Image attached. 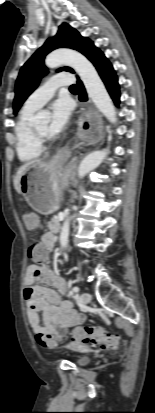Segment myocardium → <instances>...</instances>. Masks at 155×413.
<instances>
[{
    "instance_id": "f54148a6",
    "label": "myocardium",
    "mask_w": 155,
    "mask_h": 413,
    "mask_svg": "<svg viewBox=\"0 0 155 413\" xmlns=\"http://www.w3.org/2000/svg\"><path fill=\"white\" fill-rule=\"evenodd\" d=\"M32 132H33V135H34L35 139L37 140V142L40 143L41 145H42L44 142L47 141V139H48L47 136L41 134V133L36 129V127H35L34 125H32Z\"/></svg>"
}]
</instances>
